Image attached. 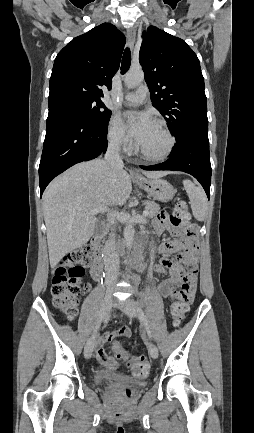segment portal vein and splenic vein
<instances>
[{
  "label": "portal vein and splenic vein",
  "mask_w": 254,
  "mask_h": 433,
  "mask_svg": "<svg viewBox=\"0 0 254 433\" xmlns=\"http://www.w3.org/2000/svg\"><path fill=\"white\" fill-rule=\"evenodd\" d=\"M107 211H108L107 207H99V208H96V209H92L90 212L93 213V214H95V213H99V212L104 213V212H107ZM147 215H148V211L144 210L143 211V216H147Z\"/></svg>",
  "instance_id": "18ae733b"
}]
</instances>
